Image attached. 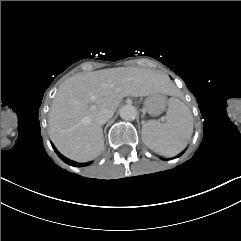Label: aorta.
<instances>
[{
  "label": "aorta",
  "instance_id": "obj_1",
  "mask_svg": "<svg viewBox=\"0 0 241 241\" xmlns=\"http://www.w3.org/2000/svg\"><path fill=\"white\" fill-rule=\"evenodd\" d=\"M137 116V110L132 105H124L120 109V117L125 121H132Z\"/></svg>",
  "mask_w": 241,
  "mask_h": 241
}]
</instances>
